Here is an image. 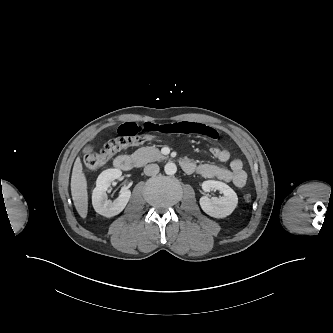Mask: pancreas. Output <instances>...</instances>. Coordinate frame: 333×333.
Returning a JSON list of instances; mask_svg holds the SVG:
<instances>
[{"label": "pancreas", "mask_w": 333, "mask_h": 333, "mask_svg": "<svg viewBox=\"0 0 333 333\" xmlns=\"http://www.w3.org/2000/svg\"><path fill=\"white\" fill-rule=\"evenodd\" d=\"M132 157L139 166L165 159V156L155 146L141 147L132 154Z\"/></svg>", "instance_id": "cf45deb5"}]
</instances>
